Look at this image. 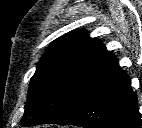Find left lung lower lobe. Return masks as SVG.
I'll return each instance as SVG.
<instances>
[{
  "label": "left lung lower lobe",
  "mask_w": 142,
  "mask_h": 128,
  "mask_svg": "<svg viewBox=\"0 0 142 128\" xmlns=\"http://www.w3.org/2000/svg\"><path fill=\"white\" fill-rule=\"evenodd\" d=\"M59 125L85 128H140L137 97L129 76L115 59L80 93Z\"/></svg>",
  "instance_id": "0a47b994"
}]
</instances>
